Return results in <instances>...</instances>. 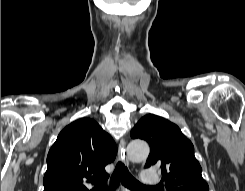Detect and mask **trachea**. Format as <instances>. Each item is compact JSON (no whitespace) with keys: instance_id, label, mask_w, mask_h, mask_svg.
<instances>
[{"instance_id":"3493384b","label":"trachea","mask_w":245,"mask_h":191,"mask_svg":"<svg viewBox=\"0 0 245 191\" xmlns=\"http://www.w3.org/2000/svg\"><path fill=\"white\" fill-rule=\"evenodd\" d=\"M120 182L127 188L134 191H141L146 189H151L154 187L144 186L138 180H136L131 173L128 171L127 167L122 163L118 162L115 170L110 179V191H115Z\"/></svg>"}]
</instances>
